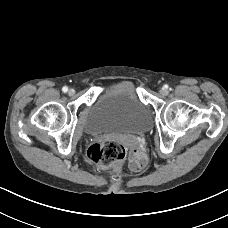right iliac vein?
Instances as JSON below:
<instances>
[{
	"label": "right iliac vein",
	"mask_w": 228,
	"mask_h": 228,
	"mask_svg": "<svg viewBox=\"0 0 228 228\" xmlns=\"http://www.w3.org/2000/svg\"><path fill=\"white\" fill-rule=\"evenodd\" d=\"M68 94H69L70 96H73V95L75 94V90H74V89H70V90L68 91Z\"/></svg>",
	"instance_id": "63e3f726"
}]
</instances>
